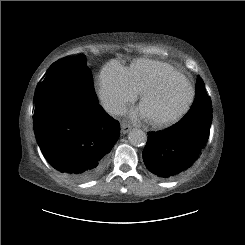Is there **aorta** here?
I'll use <instances>...</instances> for the list:
<instances>
[{"label":"aorta","instance_id":"obj_1","mask_svg":"<svg viewBox=\"0 0 245 245\" xmlns=\"http://www.w3.org/2000/svg\"><path fill=\"white\" fill-rule=\"evenodd\" d=\"M128 139L133 146H143L147 142V135L140 129H134L129 133Z\"/></svg>","mask_w":245,"mask_h":245}]
</instances>
